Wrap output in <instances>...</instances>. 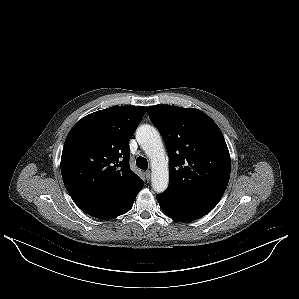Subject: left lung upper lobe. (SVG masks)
Returning a JSON list of instances; mask_svg holds the SVG:
<instances>
[{"label":"left lung upper lobe","mask_w":299,"mask_h":299,"mask_svg":"<svg viewBox=\"0 0 299 299\" xmlns=\"http://www.w3.org/2000/svg\"><path fill=\"white\" fill-rule=\"evenodd\" d=\"M147 113L167 144L170 183L165 193L221 198L231 160L216 123L198 109L161 105L147 107Z\"/></svg>","instance_id":"left-lung-upper-lobe-1"}]
</instances>
